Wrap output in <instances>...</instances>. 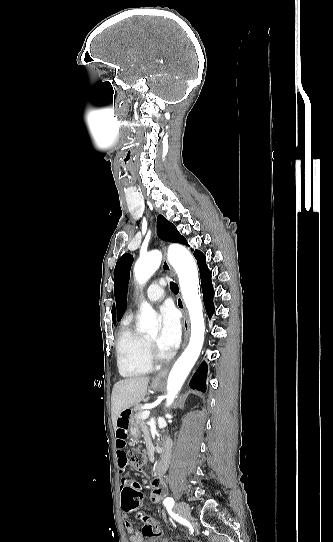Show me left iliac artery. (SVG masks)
I'll return each instance as SVG.
<instances>
[{
  "mask_svg": "<svg viewBox=\"0 0 333 542\" xmlns=\"http://www.w3.org/2000/svg\"><path fill=\"white\" fill-rule=\"evenodd\" d=\"M164 505L167 506V505H174V500L170 497H167L165 500H164Z\"/></svg>",
  "mask_w": 333,
  "mask_h": 542,
  "instance_id": "1",
  "label": "left iliac artery"
}]
</instances>
